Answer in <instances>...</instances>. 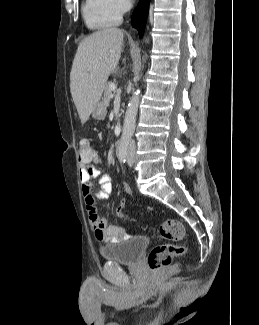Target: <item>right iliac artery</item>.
Returning a JSON list of instances; mask_svg holds the SVG:
<instances>
[{
    "mask_svg": "<svg viewBox=\"0 0 259 325\" xmlns=\"http://www.w3.org/2000/svg\"><path fill=\"white\" fill-rule=\"evenodd\" d=\"M126 157H127V142L124 143L122 150L118 154V158L122 163L126 162Z\"/></svg>",
    "mask_w": 259,
    "mask_h": 325,
    "instance_id": "obj_1",
    "label": "right iliac artery"
}]
</instances>
